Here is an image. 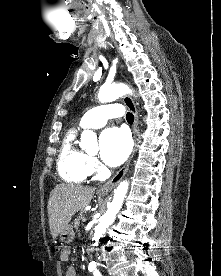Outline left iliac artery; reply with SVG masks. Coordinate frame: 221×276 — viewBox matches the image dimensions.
Returning <instances> with one entry per match:
<instances>
[{"mask_svg": "<svg viewBox=\"0 0 221 276\" xmlns=\"http://www.w3.org/2000/svg\"><path fill=\"white\" fill-rule=\"evenodd\" d=\"M94 276H102V275L98 270H96V271H94Z\"/></svg>", "mask_w": 221, "mask_h": 276, "instance_id": "obj_1", "label": "left iliac artery"}]
</instances>
